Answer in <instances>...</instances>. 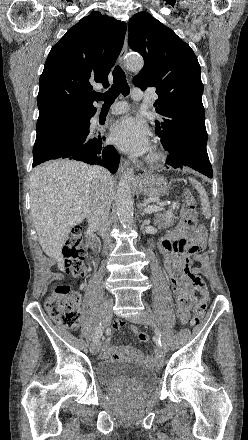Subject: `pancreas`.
<instances>
[{"label":"pancreas","instance_id":"cf45deb5","mask_svg":"<svg viewBox=\"0 0 248 440\" xmlns=\"http://www.w3.org/2000/svg\"><path fill=\"white\" fill-rule=\"evenodd\" d=\"M175 222V216L173 214V208H169L164 213L157 212L155 214L154 224L160 228H168Z\"/></svg>","mask_w":248,"mask_h":440}]
</instances>
